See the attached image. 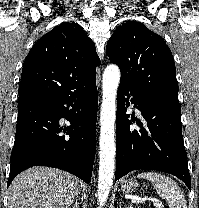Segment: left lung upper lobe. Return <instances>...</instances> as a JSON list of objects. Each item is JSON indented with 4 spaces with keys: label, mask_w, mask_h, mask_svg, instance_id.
<instances>
[{
    "label": "left lung upper lobe",
    "mask_w": 199,
    "mask_h": 208,
    "mask_svg": "<svg viewBox=\"0 0 199 208\" xmlns=\"http://www.w3.org/2000/svg\"><path fill=\"white\" fill-rule=\"evenodd\" d=\"M106 54L119 66L121 80L150 96L179 103L172 53L144 24L127 21L119 26L107 43Z\"/></svg>",
    "instance_id": "5c2ea615"
}]
</instances>
